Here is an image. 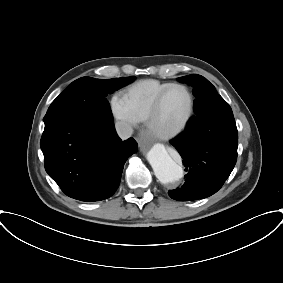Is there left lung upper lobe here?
<instances>
[{
	"mask_svg": "<svg viewBox=\"0 0 283 283\" xmlns=\"http://www.w3.org/2000/svg\"><path fill=\"white\" fill-rule=\"evenodd\" d=\"M180 82L187 83L193 86V94L197 98L195 100L194 109L199 107H205L210 105V102H213L215 97L220 96L215 87L203 76L201 75H188L178 78ZM230 122L227 123L228 127L225 131L221 130L216 134H213L215 138H220L224 140H238V132L236 128V123L234 116L231 110L229 115Z\"/></svg>",
	"mask_w": 283,
	"mask_h": 283,
	"instance_id": "obj_1",
	"label": "left lung upper lobe"
}]
</instances>
